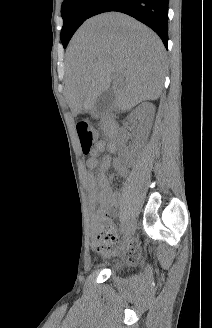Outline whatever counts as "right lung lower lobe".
<instances>
[{
    "label": "right lung lower lobe",
    "instance_id": "right-lung-lower-lobe-1",
    "mask_svg": "<svg viewBox=\"0 0 212 328\" xmlns=\"http://www.w3.org/2000/svg\"><path fill=\"white\" fill-rule=\"evenodd\" d=\"M109 11L128 14L153 29L168 43V0H98L89 18Z\"/></svg>",
    "mask_w": 212,
    "mask_h": 328
}]
</instances>
